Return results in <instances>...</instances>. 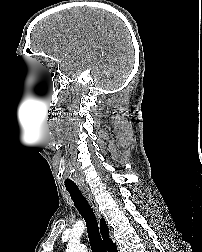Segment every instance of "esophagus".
I'll use <instances>...</instances> for the list:
<instances>
[{
  "mask_svg": "<svg viewBox=\"0 0 202 252\" xmlns=\"http://www.w3.org/2000/svg\"><path fill=\"white\" fill-rule=\"evenodd\" d=\"M81 191H82L83 195L86 197V199L88 200L89 204L91 205L96 217L100 218L101 215H100V212L98 210V204H97L94 196L90 192L89 188L82 187Z\"/></svg>",
  "mask_w": 202,
  "mask_h": 252,
  "instance_id": "obj_1",
  "label": "esophagus"
}]
</instances>
